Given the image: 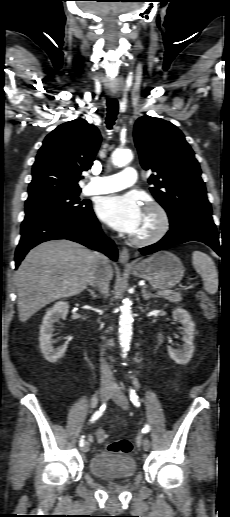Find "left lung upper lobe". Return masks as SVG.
<instances>
[{
    "label": "left lung upper lobe",
    "mask_w": 230,
    "mask_h": 517,
    "mask_svg": "<svg viewBox=\"0 0 230 517\" xmlns=\"http://www.w3.org/2000/svg\"><path fill=\"white\" fill-rule=\"evenodd\" d=\"M134 140L145 170L151 169L149 183L153 196L166 210L170 227L199 216H211L205 184L194 152L183 133L169 121L140 117Z\"/></svg>",
    "instance_id": "5c2ea615"
}]
</instances>
